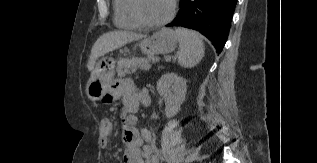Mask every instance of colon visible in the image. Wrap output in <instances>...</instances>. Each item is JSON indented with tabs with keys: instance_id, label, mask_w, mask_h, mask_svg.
Instances as JSON below:
<instances>
[{
	"instance_id": "1",
	"label": "colon",
	"mask_w": 317,
	"mask_h": 163,
	"mask_svg": "<svg viewBox=\"0 0 317 163\" xmlns=\"http://www.w3.org/2000/svg\"><path fill=\"white\" fill-rule=\"evenodd\" d=\"M113 101V98L111 96H106L104 99L105 103H111Z\"/></svg>"
}]
</instances>
